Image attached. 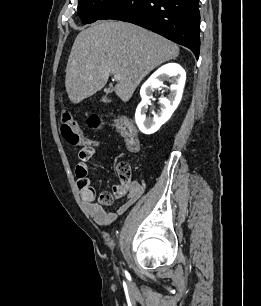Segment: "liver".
Wrapping results in <instances>:
<instances>
[{"label":"liver","mask_w":261,"mask_h":306,"mask_svg":"<svg viewBox=\"0 0 261 306\" xmlns=\"http://www.w3.org/2000/svg\"><path fill=\"white\" fill-rule=\"evenodd\" d=\"M178 55L175 43L142 27L122 21L98 22L74 41L66 67L68 97L77 104L100 91L111 74H118L121 80L114 90L127 102L146 75Z\"/></svg>","instance_id":"1"}]
</instances>
